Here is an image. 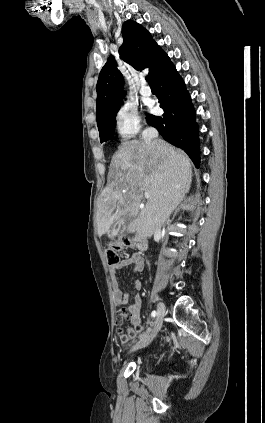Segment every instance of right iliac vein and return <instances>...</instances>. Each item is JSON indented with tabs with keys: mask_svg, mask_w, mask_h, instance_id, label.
<instances>
[{
	"mask_svg": "<svg viewBox=\"0 0 265 423\" xmlns=\"http://www.w3.org/2000/svg\"><path fill=\"white\" fill-rule=\"evenodd\" d=\"M164 315H165V305L163 303H159L157 306V318L155 322V327L152 334L148 338H142L140 341H138L131 348V351H135L147 346L155 338V336L157 335V333L159 332L162 326Z\"/></svg>",
	"mask_w": 265,
	"mask_h": 423,
	"instance_id": "obj_1",
	"label": "right iliac vein"
}]
</instances>
